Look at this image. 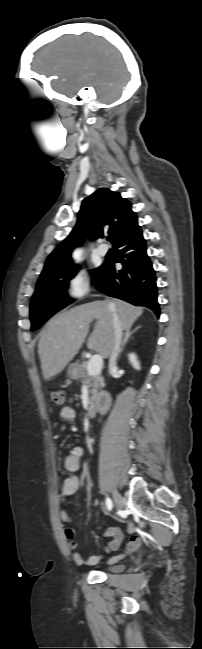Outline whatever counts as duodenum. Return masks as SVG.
I'll return each mask as SVG.
<instances>
[{
  "mask_svg": "<svg viewBox=\"0 0 202 649\" xmlns=\"http://www.w3.org/2000/svg\"><path fill=\"white\" fill-rule=\"evenodd\" d=\"M109 405H110L109 396L104 393H99L96 397L95 409L92 410L91 413H95L96 411L106 412L109 408Z\"/></svg>",
  "mask_w": 202,
  "mask_h": 649,
  "instance_id": "410a0bca",
  "label": "duodenum"
}]
</instances>
